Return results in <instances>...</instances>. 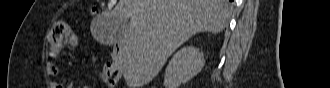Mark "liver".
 Wrapping results in <instances>:
<instances>
[{
	"mask_svg": "<svg viewBox=\"0 0 330 88\" xmlns=\"http://www.w3.org/2000/svg\"><path fill=\"white\" fill-rule=\"evenodd\" d=\"M228 14L227 0H119L107 15V27L130 19L126 30L112 36L127 85L137 88L151 81L196 33L221 32Z\"/></svg>",
	"mask_w": 330,
	"mask_h": 88,
	"instance_id": "1",
	"label": "liver"
}]
</instances>
